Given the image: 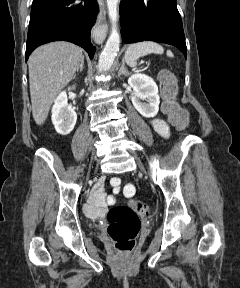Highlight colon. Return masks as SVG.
<instances>
[{"label": "colon", "instance_id": "obj_1", "mask_svg": "<svg viewBox=\"0 0 240 288\" xmlns=\"http://www.w3.org/2000/svg\"><path fill=\"white\" fill-rule=\"evenodd\" d=\"M161 93L164 99L163 111L169 115L175 126L185 128L188 114L176 101V81L168 71L161 75ZM150 213V207L139 200H131L127 206H116L108 212V235L117 250L129 253L134 249L141 228L140 218L147 217Z\"/></svg>", "mask_w": 240, "mask_h": 288}]
</instances>
